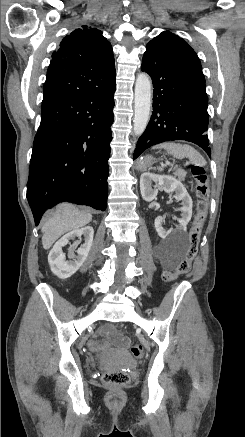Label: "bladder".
<instances>
[{
	"label": "bladder",
	"instance_id": "obj_1",
	"mask_svg": "<svg viewBox=\"0 0 245 437\" xmlns=\"http://www.w3.org/2000/svg\"><path fill=\"white\" fill-rule=\"evenodd\" d=\"M104 358L113 368H130L136 365V361L127 352L120 350L110 349L105 352Z\"/></svg>",
	"mask_w": 245,
	"mask_h": 437
}]
</instances>
